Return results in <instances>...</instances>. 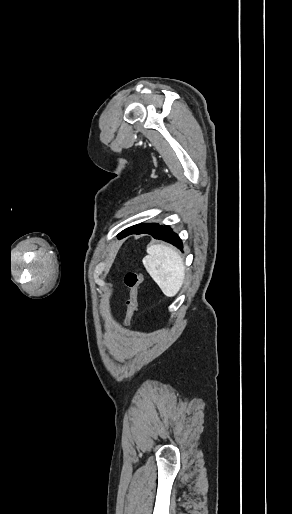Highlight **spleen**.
<instances>
[{
    "instance_id": "obj_1",
    "label": "spleen",
    "mask_w": 292,
    "mask_h": 514,
    "mask_svg": "<svg viewBox=\"0 0 292 514\" xmlns=\"http://www.w3.org/2000/svg\"><path fill=\"white\" fill-rule=\"evenodd\" d=\"M143 266L165 296L173 298L178 294L185 280V266L177 250L162 244H151Z\"/></svg>"
}]
</instances>
